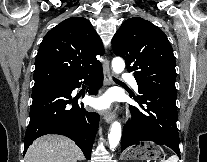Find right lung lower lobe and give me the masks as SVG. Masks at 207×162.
<instances>
[{
    "mask_svg": "<svg viewBox=\"0 0 207 162\" xmlns=\"http://www.w3.org/2000/svg\"><path fill=\"white\" fill-rule=\"evenodd\" d=\"M82 79L91 82L88 93L97 94L103 81L102 66L54 84L33 88L24 154L36 138L46 134H60L75 141L87 160H90L99 115L87 111L83 104L78 105L77 98L71 97L72 91L80 87Z\"/></svg>",
    "mask_w": 207,
    "mask_h": 162,
    "instance_id": "obj_1",
    "label": "right lung lower lobe"
}]
</instances>
